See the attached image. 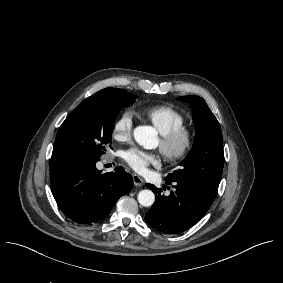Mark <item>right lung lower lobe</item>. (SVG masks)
Returning a JSON list of instances; mask_svg holds the SVG:
<instances>
[{
  "mask_svg": "<svg viewBox=\"0 0 283 283\" xmlns=\"http://www.w3.org/2000/svg\"><path fill=\"white\" fill-rule=\"evenodd\" d=\"M99 157L50 165V185L62 212L73 221L91 223L106 217L118 199L130 192L133 178L123 167L101 174Z\"/></svg>",
  "mask_w": 283,
  "mask_h": 283,
  "instance_id": "1",
  "label": "right lung lower lobe"
}]
</instances>
